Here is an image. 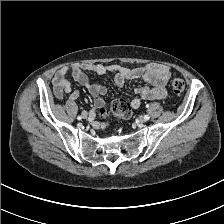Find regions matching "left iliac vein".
Segmentation results:
<instances>
[{"instance_id":"left-iliac-vein-1","label":"left iliac vein","mask_w":224,"mask_h":224,"mask_svg":"<svg viewBox=\"0 0 224 224\" xmlns=\"http://www.w3.org/2000/svg\"><path fill=\"white\" fill-rule=\"evenodd\" d=\"M139 121H140V123H145L147 120L145 119L144 116H141V117L139 118Z\"/></svg>"}]
</instances>
